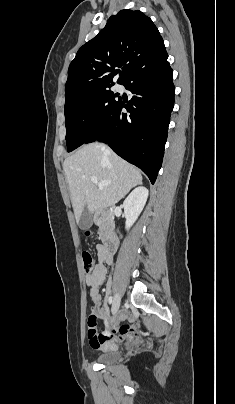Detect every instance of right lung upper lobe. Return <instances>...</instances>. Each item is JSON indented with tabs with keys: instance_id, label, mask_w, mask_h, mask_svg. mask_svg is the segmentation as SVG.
Returning <instances> with one entry per match:
<instances>
[{
	"instance_id": "1",
	"label": "right lung upper lobe",
	"mask_w": 235,
	"mask_h": 404,
	"mask_svg": "<svg viewBox=\"0 0 235 404\" xmlns=\"http://www.w3.org/2000/svg\"><path fill=\"white\" fill-rule=\"evenodd\" d=\"M167 55L164 41L152 20L141 11L124 9L77 52L68 70L65 103L108 89L121 68L122 84L136 71Z\"/></svg>"
}]
</instances>
